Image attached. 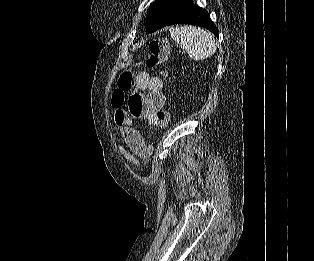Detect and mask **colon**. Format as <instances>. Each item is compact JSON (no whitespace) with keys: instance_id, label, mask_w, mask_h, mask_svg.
<instances>
[{"instance_id":"1","label":"colon","mask_w":314,"mask_h":261,"mask_svg":"<svg viewBox=\"0 0 314 261\" xmlns=\"http://www.w3.org/2000/svg\"><path fill=\"white\" fill-rule=\"evenodd\" d=\"M169 61V44L165 39H154L149 44V54L145 60V63L150 68L160 67L164 68ZM135 83L134 74L130 70H125L121 73L117 88L113 97L116 100L123 101L125 94L131 90ZM159 125L161 130H164L170 121L169 113L166 110H160L158 112Z\"/></svg>"}]
</instances>
